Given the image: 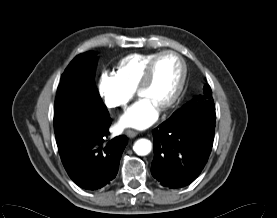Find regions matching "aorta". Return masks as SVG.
Masks as SVG:
<instances>
[{
  "instance_id": "aorta-1",
  "label": "aorta",
  "mask_w": 277,
  "mask_h": 218,
  "mask_svg": "<svg viewBox=\"0 0 277 218\" xmlns=\"http://www.w3.org/2000/svg\"><path fill=\"white\" fill-rule=\"evenodd\" d=\"M134 152L139 156L148 155L152 150V144L148 139H138L133 146Z\"/></svg>"
}]
</instances>
